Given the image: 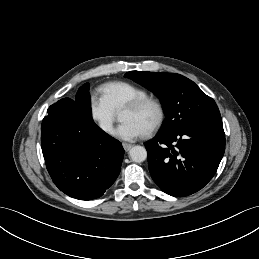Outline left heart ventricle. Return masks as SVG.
<instances>
[{
  "mask_svg": "<svg viewBox=\"0 0 259 259\" xmlns=\"http://www.w3.org/2000/svg\"><path fill=\"white\" fill-rule=\"evenodd\" d=\"M157 116L156 109L151 105H146L138 111H123L120 113L121 121L134 123L141 132L145 131L155 121Z\"/></svg>",
  "mask_w": 259,
  "mask_h": 259,
  "instance_id": "1",
  "label": "left heart ventricle"
}]
</instances>
